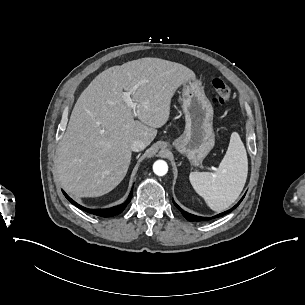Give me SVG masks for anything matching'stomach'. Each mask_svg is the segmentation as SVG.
I'll return each instance as SVG.
<instances>
[{
    "mask_svg": "<svg viewBox=\"0 0 305 305\" xmlns=\"http://www.w3.org/2000/svg\"><path fill=\"white\" fill-rule=\"evenodd\" d=\"M182 97L185 130L180 137L173 140L172 146L185 154L190 164L195 166L214 148V109L198 80L183 84Z\"/></svg>",
    "mask_w": 305,
    "mask_h": 305,
    "instance_id": "stomach-1",
    "label": "stomach"
}]
</instances>
